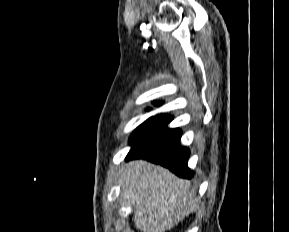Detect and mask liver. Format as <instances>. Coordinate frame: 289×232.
Returning a JSON list of instances; mask_svg holds the SVG:
<instances>
[{"mask_svg": "<svg viewBox=\"0 0 289 232\" xmlns=\"http://www.w3.org/2000/svg\"><path fill=\"white\" fill-rule=\"evenodd\" d=\"M119 184L125 204L134 211L141 232H165L195 210L197 198L190 182L146 160L126 163Z\"/></svg>", "mask_w": 289, "mask_h": 232, "instance_id": "obj_1", "label": "liver"}]
</instances>
